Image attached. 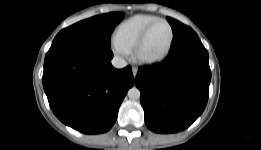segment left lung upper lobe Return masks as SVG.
<instances>
[{"mask_svg":"<svg viewBox=\"0 0 261 150\" xmlns=\"http://www.w3.org/2000/svg\"><path fill=\"white\" fill-rule=\"evenodd\" d=\"M167 20L170 23L174 34L187 27L175 19L167 17Z\"/></svg>","mask_w":261,"mask_h":150,"instance_id":"5c2ea615","label":"left lung upper lobe"}]
</instances>
